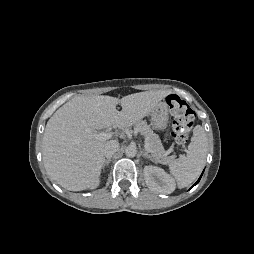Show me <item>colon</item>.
<instances>
[{
	"instance_id": "colon-1",
	"label": "colon",
	"mask_w": 254,
	"mask_h": 254,
	"mask_svg": "<svg viewBox=\"0 0 254 254\" xmlns=\"http://www.w3.org/2000/svg\"><path fill=\"white\" fill-rule=\"evenodd\" d=\"M167 103L175 117L171 137L177 146H181L187 141L192 130L195 112L186 101L174 94L167 97Z\"/></svg>"
}]
</instances>
